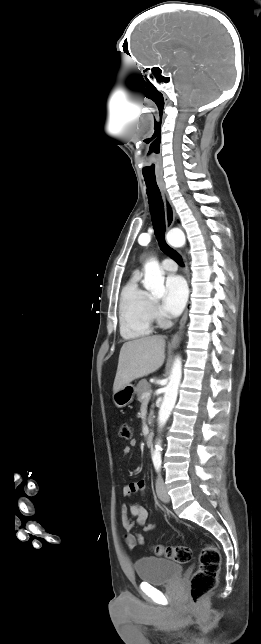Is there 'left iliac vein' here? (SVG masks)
<instances>
[{"instance_id":"left-iliac-vein-1","label":"left iliac vein","mask_w":261,"mask_h":644,"mask_svg":"<svg viewBox=\"0 0 261 644\" xmlns=\"http://www.w3.org/2000/svg\"><path fill=\"white\" fill-rule=\"evenodd\" d=\"M156 492H157L158 498L161 501L165 503H168L170 501V496L168 495L164 481L160 476L157 478V481H156Z\"/></svg>"}]
</instances>
